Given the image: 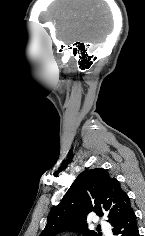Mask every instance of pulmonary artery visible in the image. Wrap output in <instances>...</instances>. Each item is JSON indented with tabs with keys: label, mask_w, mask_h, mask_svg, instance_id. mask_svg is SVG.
Returning a JSON list of instances; mask_svg holds the SVG:
<instances>
[{
	"label": "pulmonary artery",
	"mask_w": 145,
	"mask_h": 236,
	"mask_svg": "<svg viewBox=\"0 0 145 236\" xmlns=\"http://www.w3.org/2000/svg\"><path fill=\"white\" fill-rule=\"evenodd\" d=\"M97 223H99L106 235L111 236V228L105 225V222L101 218H97Z\"/></svg>",
	"instance_id": "pulmonary-artery-1"
}]
</instances>
